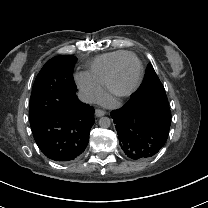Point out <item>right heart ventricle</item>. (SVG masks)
I'll return each mask as SVG.
<instances>
[{
	"label": "right heart ventricle",
	"mask_w": 208,
	"mask_h": 208,
	"mask_svg": "<svg viewBox=\"0 0 208 208\" xmlns=\"http://www.w3.org/2000/svg\"><path fill=\"white\" fill-rule=\"evenodd\" d=\"M133 54L127 50H117L96 57L90 64L88 75L101 88H106L115 65Z\"/></svg>",
	"instance_id": "obj_1"
}]
</instances>
